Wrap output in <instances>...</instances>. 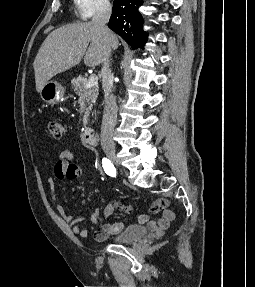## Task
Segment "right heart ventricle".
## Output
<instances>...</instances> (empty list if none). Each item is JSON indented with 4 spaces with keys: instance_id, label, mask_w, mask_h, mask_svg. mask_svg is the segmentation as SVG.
I'll use <instances>...</instances> for the list:
<instances>
[{
    "instance_id": "right-heart-ventricle-1",
    "label": "right heart ventricle",
    "mask_w": 255,
    "mask_h": 287,
    "mask_svg": "<svg viewBox=\"0 0 255 287\" xmlns=\"http://www.w3.org/2000/svg\"><path fill=\"white\" fill-rule=\"evenodd\" d=\"M72 39H75V38H72ZM121 48H133V47H121Z\"/></svg>"
}]
</instances>
